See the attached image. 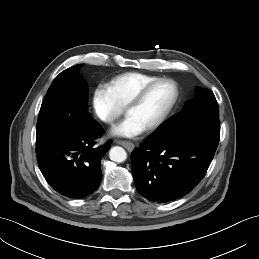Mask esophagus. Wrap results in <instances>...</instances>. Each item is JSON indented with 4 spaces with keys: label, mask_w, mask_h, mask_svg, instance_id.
<instances>
[{
    "label": "esophagus",
    "mask_w": 259,
    "mask_h": 259,
    "mask_svg": "<svg viewBox=\"0 0 259 259\" xmlns=\"http://www.w3.org/2000/svg\"><path fill=\"white\" fill-rule=\"evenodd\" d=\"M117 144L122 145L123 147H125L128 151H132L135 147V145L132 142H128V141H116Z\"/></svg>",
    "instance_id": "1"
}]
</instances>
